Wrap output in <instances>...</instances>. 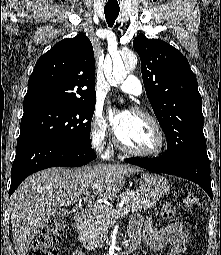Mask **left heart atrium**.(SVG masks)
<instances>
[{"label":"left heart atrium","instance_id":"left-heart-atrium-1","mask_svg":"<svg viewBox=\"0 0 221 255\" xmlns=\"http://www.w3.org/2000/svg\"><path fill=\"white\" fill-rule=\"evenodd\" d=\"M127 118H128V113L126 112L116 113L111 115L112 125L116 132H118L123 127Z\"/></svg>","mask_w":221,"mask_h":255}]
</instances>
